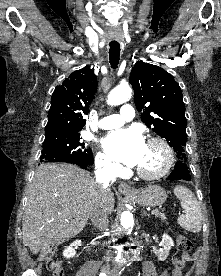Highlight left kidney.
Instances as JSON below:
<instances>
[{
	"instance_id": "5707ae66",
	"label": "left kidney",
	"mask_w": 221,
	"mask_h": 276,
	"mask_svg": "<svg viewBox=\"0 0 221 276\" xmlns=\"http://www.w3.org/2000/svg\"><path fill=\"white\" fill-rule=\"evenodd\" d=\"M160 246L162 248L156 249L154 247L153 250L159 261H165L169 254V250L174 246L172 238L167 234H163Z\"/></svg>"
}]
</instances>
